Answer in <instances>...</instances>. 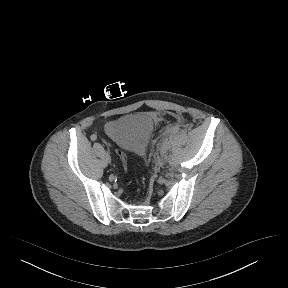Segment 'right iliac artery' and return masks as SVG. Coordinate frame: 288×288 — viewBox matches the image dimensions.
I'll return each mask as SVG.
<instances>
[{"mask_svg": "<svg viewBox=\"0 0 288 288\" xmlns=\"http://www.w3.org/2000/svg\"><path fill=\"white\" fill-rule=\"evenodd\" d=\"M90 138H91L92 141H95L97 139V135L93 134V135H91Z\"/></svg>", "mask_w": 288, "mask_h": 288, "instance_id": "82829eb1", "label": "right iliac artery"}]
</instances>
